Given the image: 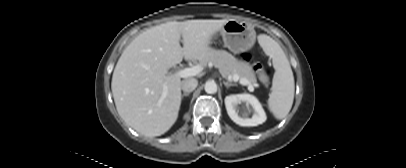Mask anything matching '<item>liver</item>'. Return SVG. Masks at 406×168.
Masks as SVG:
<instances>
[{"mask_svg": "<svg viewBox=\"0 0 406 168\" xmlns=\"http://www.w3.org/2000/svg\"><path fill=\"white\" fill-rule=\"evenodd\" d=\"M227 21H172L139 34L121 54L112 75L119 116L145 136L167 132L178 118L182 85L180 77L167 75L168 70L183 58L195 61L208 57L213 52L212 36ZM164 85L168 88L165 97Z\"/></svg>", "mask_w": 406, "mask_h": 168, "instance_id": "1", "label": "liver"}]
</instances>
